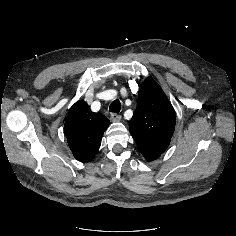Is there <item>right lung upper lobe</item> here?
<instances>
[{
	"instance_id": "1",
	"label": "right lung upper lobe",
	"mask_w": 236,
	"mask_h": 236,
	"mask_svg": "<svg viewBox=\"0 0 236 236\" xmlns=\"http://www.w3.org/2000/svg\"><path fill=\"white\" fill-rule=\"evenodd\" d=\"M109 120L93 113L85 101L76 102L69 110L64 131L74 157L89 162L96 155Z\"/></svg>"
}]
</instances>
